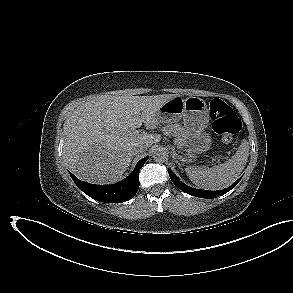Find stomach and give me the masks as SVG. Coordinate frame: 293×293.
Here are the masks:
<instances>
[{"mask_svg":"<svg viewBox=\"0 0 293 293\" xmlns=\"http://www.w3.org/2000/svg\"><path fill=\"white\" fill-rule=\"evenodd\" d=\"M158 118L161 123L177 122L183 118L189 158L210 149L212 139L206 132L210 111L203 99L195 96L183 99L177 96L160 108Z\"/></svg>","mask_w":293,"mask_h":293,"instance_id":"stomach-1","label":"stomach"}]
</instances>
